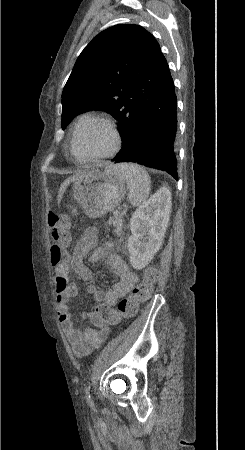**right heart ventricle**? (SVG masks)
<instances>
[{"label":"right heart ventricle","mask_w":245,"mask_h":450,"mask_svg":"<svg viewBox=\"0 0 245 450\" xmlns=\"http://www.w3.org/2000/svg\"><path fill=\"white\" fill-rule=\"evenodd\" d=\"M94 116L93 115H91V114H84V115H82L79 119H78V121L77 122H79V121H88V120H90V119H92ZM70 151H71V149H70ZM72 153V152H71ZM73 154V153H72Z\"/></svg>","instance_id":"obj_1"}]
</instances>
